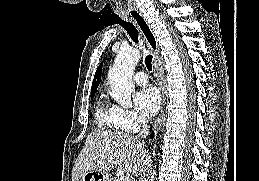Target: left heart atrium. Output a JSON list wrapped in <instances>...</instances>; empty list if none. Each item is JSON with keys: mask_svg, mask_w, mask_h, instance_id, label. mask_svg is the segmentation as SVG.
<instances>
[{"mask_svg": "<svg viewBox=\"0 0 259 181\" xmlns=\"http://www.w3.org/2000/svg\"><path fill=\"white\" fill-rule=\"evenodd\" d=\"M134 102L143 115L150 117L159 110L161 95L156 87L147 86L135 93Z\"/></svg>", "mask_w": 259, "mask_h": 181, "instance_id": "left-heart-atrium-1", "label": "left heart atrium"}]
</instances>
